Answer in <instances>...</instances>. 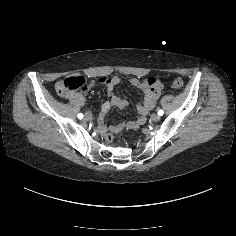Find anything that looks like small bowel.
I'll use <instances>...</instances> for the list:
<instances>
[{"instance_id": "1", "label": "small bowel", "mask_w": 236, "mask_h": 236, "mask_svg": "<svg viewBox=\"0 0 236 236\" xmlns=\"http://www.w3.org/2000/svg\"><path fill=\"white\" fill-rule=\"evenodd\" d=\"M100 81L101 82H106L105 79H101ZM115 81L119 82V79L115 78ZM135 82H136V80L133 81V83H135ZM110 95H111V102H112V104L117 105L119 107L126 106L127 102L125 100H122V99L118 98L117 96H115V94H114L112 89H111ZM65 96L70 98V100H72V101L79 100V101H81V103L83 102V96L81 94H79V93H71V94H67ZM156 97H157V92H156V94H155L153 99L149 100L145 104V106L139 108V112H140V114L142 116L145 115L154 106ZM114 98H117L118 101H114ZM141 120H142V117L140 119H138L137 121L132 122L130 124V128H135L140 123Z\"/></svg>"}]
</instances>
